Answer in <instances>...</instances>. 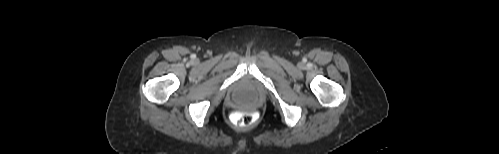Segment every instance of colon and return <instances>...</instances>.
Instances as JSON below:
<instances>
[{"label":"colon","mask_w":499,"mask_h":154,"mask_svg":"<svg viewBox=\"0 0 499 154\" xmlns=\"http://www.w3.org/2000/svg\"><path fill=\"white\" fill-rule=\"evenodd\" d=\"M231 122L236 127H245L250 125L255 118V114L242 109H234L231 113Z\"/></svg>","instance_id":"obj_1"}]
</instances>
